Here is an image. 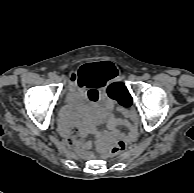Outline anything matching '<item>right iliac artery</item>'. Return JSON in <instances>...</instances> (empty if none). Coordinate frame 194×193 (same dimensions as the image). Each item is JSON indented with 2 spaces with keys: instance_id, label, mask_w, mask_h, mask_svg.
<instances>
[{
  "instance_id": "82829eb1",
  "label": "right iliac artery",
  "mask_w": 194,
  "mask_h": 193,
  "mask_svg": "<svg viewBox=\"0 0 194 193\" xmlns=\"http://www.w3.org/2000/svg\"><path fill=\"white\" fill-rule=\"evenodd\" d=\"M48 76H49L50 78H53V77L55 76V74L52 73V72H50V73L48 74Z\"/></svg>"
}]
</instances>
